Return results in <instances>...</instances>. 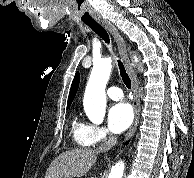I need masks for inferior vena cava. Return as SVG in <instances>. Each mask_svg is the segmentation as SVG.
<instances>
[{"label": "inferior vena cava", "mask_w": 194, "mask_h": 178, "mask_svg": "<svg viewBox=\"0 0 194 178\" xmlns=\"http://www.w3.org/2000/svg\"><path fill=\"white\" fill-rule=\"evenodd\" d=\"M117 143V137L110 134L107 141H105L103 144L99 146L97 149V152H106L110 150L114 145Z\"/></svg>", "instance_id": "inferior-vena-cava-1"}]
</instances>
